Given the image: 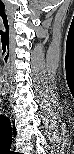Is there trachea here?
Instances as JSON below:
<instances>
[{
    "label": "trachea",
    "mask_w": 74,
    "mask_h": 154,
    "mask_svg": "<svg viewBox=\"0 0 74 154\" xmlns=\"http://www.w3.org/2000/svg\"><path fill=\"white\" fill-rule=\"evenodd\" d=\"M12 139V128L10 119L6 116L0 117V140L10 141Z\"/></svg>",
    "instance_id": "trachea-1"
}]
</instances>
